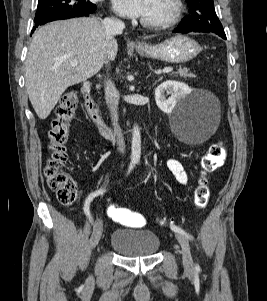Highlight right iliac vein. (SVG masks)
Returning a JSON list of instances; mask_svg holds the SVG:
<instances>
[{"label": "right iliac vein", "instance_id": "right-iliac-vein-1", "mask_svg": "<svg viewBox=\"0 0 267 301\" xmlns=\"http://www.w3.org/2000/svg\"><path fill=\"white\" fill-rule=\"evenodd\" d=\"M102 231H103L102 220L98 219L96 222V225L94 227L92 237H91V248L92 249H94L98 245V243L101 239V236H102Z\"/></svg>", "mask_w": 267, "mask_h": 301}]
</instances>
